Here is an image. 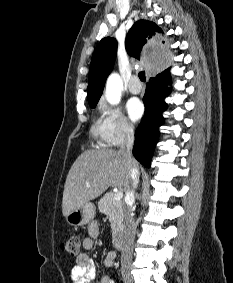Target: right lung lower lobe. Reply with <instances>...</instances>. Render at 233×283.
I'll return each mask as SVG.
<instances>
[{
    "mask_svg": "<svg viewBox=\"0 0 233 283\" xmlns=\"http://www.w3.org/2000/svg\"><path fill=\"white\" fill-rule=\"evenodd\" d=\"M170 81V68H168L151 78L143 97L145 114L135 133L133 155L146 167H150L159 136L158 129L164 121L162 112L167 108L164 98L170 93V89L167 88Z\"/></svg>",
    "mask_w": 233,
    "mask_h": 283,
    "instance_id": "obj_1",
    "label": "right lung lower lobe"
}]
</instances>
